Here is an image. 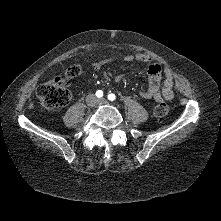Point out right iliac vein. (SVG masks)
<instances>
[{"label": "right iliac vein", "mask_w": 221, "mask_h": 221, "mask_svg": "<svg viewBox=\"0 0 221 221\" xmlns=\"http://www.w3.org/2000/svg\"><path fill=\"white\" fill-rule=\"evenodd\" d=\"M89 103H90V105H94V104L96 103L95 97L90 96V98H89Z\"/></svg>", "instance_id": "1"}]
</instances>
